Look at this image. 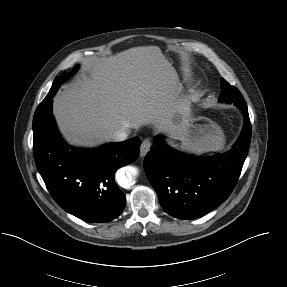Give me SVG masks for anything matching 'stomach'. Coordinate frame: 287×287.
<instances>
[{
    "label": "stomach",
    "mask_w": 287,
    "mask_h": 287,
    "mask_svg": "<svg viewBox=\"0 0 287 287\" xmlns=\"http://www.w3.org/2000/svg\"><path fill=\"white\" fill-rule=\"evenodd\" d=\"M179 140L184 150L195 154L220 150L225 143L220 126L209 118L197 115L194 110L190 111Z\"/></svg>",
    "instance_id": "0dacf381"
}]
</instances>
